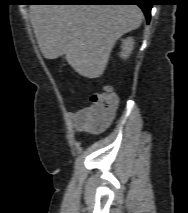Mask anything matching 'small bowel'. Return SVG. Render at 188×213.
<instances>
[{
  "mask_svg": "<svg viewBox=\"0 0 188 213\" xmlns=\"http://www.w3.org/2000/svg\"><path fill=\"white\" fill-rule=\"evenodd\" d=\"M89 108L85 107L73 114L74 125L77 130L85 131V130H103L106 128L110 122V120L101 123L99 125H94L92 120L88 117Z\"/></svg>",
  "mask_w": 188,
  "mask_h": 213,
  "instance_id": "1",
  "label": "small bowel"
}]
</instances>
